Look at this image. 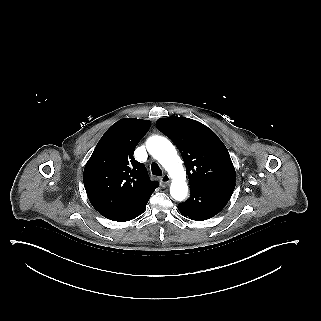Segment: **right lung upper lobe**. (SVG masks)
Returning <instances> with one entry per match:
<instances>
[{
    "label": "right lung upper lobe",
    "instance_id": "cb5924a9",
    "mask_svg": "<svg viewBox=\"0 0 321 321\" xmlns=\"http://www.w3.org/2000/svg\"><path fill=\"white\" fill-rule=\"evenodd\" d=\"M150 121L121 119L102 136L83 174L87 196L104 217L120 216L148 200L158 187L133 152L150 127Z\"/></svg>",
    "mask_w": 321,
    "mask_h": 321
}]
</instances>
